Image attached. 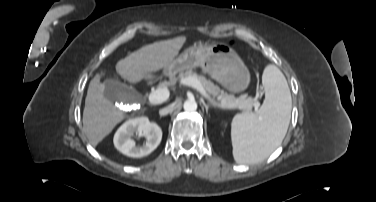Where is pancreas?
Returning <instances> with one entry per match:
<instances>
[{
	"label": "pancreas",
	"instance_id": "cf45deb5",
	"mask_svg": "<svg viewBox=\"0 0 376 202\" xmlns=\"http://www.w3.org/2000/svg\"><path fill=\"white\" fill-rule=\"evenodd\" d=\"M193 77L197 79L204 89L213 96L214 99L220 103L232 104L239 109L250 111L253 107L257 106L256 100L246 98L245 95L236 98L234 95H229L220 89L217 85H214L211 81H208L204 76L198 75L192 70H188L182 73L179 78H171L169 81H164L160 84L161 87L174 86L178 80L182 81L185 78Z\"/></svg>",
	"mask_w": 376,
	"mask_h": 202
}]
</instances>
